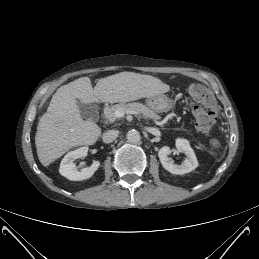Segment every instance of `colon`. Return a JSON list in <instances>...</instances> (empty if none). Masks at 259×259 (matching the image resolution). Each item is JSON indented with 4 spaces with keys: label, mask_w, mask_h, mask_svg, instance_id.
<instances>
[{
    "label": "colon",
    "mask_w": 259,
    "mask_h": 259,
    "mask_svg": "<svg viewBox=\"0 0 259 259\" xmlns=\"http://www.w3.org/2000/svg\"><path fill=\"white\" fill-rule=\"evenodd\" d=\"M187 95L197 130L208 135L217 119L212 93L204 85L192 84L187 90Z\"/></svg>",
    "instance_id": "1"
}]
</instances>
